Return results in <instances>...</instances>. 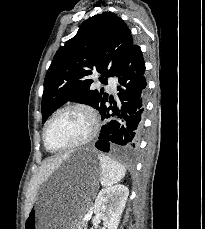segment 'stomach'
I'll return each instance as SVG.
<instances>
[{"label":"stomach","instance_id":"obj_1","mask_svg":"<svg viewBox=\"0 0 205 229\" xmlns=\"http://www.w3.org/2000/svg\"><path fill=\"white\" fill-rule=\"evenodd\" d=\"M100 176L101 166L93 151L71 153L57 186L36 199L24 229H77Z\"/></svg>","mask_w":205,"mask_h":229}]
</instances>
